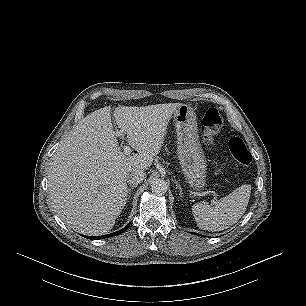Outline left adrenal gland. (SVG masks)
<instances>
[{
    "label": "left adrenal gland",
    "mask_w": 306,
    "mask_h": 306,
    "mask_svg": "<svg viewBox=\"0 0 306 306\" xmlns=\"http://www.w3.org/2000/svg\"><path fill=\"white\" fill-rule=\"evenodd\" d=\"M175 184H176V187L179 189V191H180V197H182L183 196V191H182V188H181V186L179 185V183L175 180Z\"/></svg>",
    "instance_id": "a2214340"
}]
</instances>
